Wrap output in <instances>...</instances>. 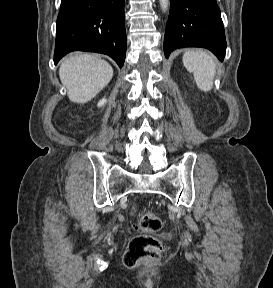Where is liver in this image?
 <instances>
[{
	"label": "liver",
	"instance_id": "obj_1",
	"mask_svg": "<svg viewBox=\"0 0 273 288\" xmlns=\"http://www.w3.org/2000/svg\"><path fill=\"white\" fill-rule=\"evenodd\" d=\"M59 77L70 101L87 103L110 82L113 68L90 54H76L61 63Z\"/></svg>",
	"mask_w": 273,
	"mask_h": 288
}]
</instances>
